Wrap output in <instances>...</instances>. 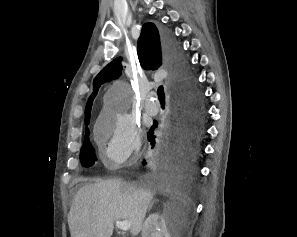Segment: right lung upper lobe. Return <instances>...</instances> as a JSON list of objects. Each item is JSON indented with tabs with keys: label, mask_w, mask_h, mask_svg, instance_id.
Segmentation results:
<instances>
[{
	"label": "right lung upper lobe",
	"mask_w": 297,
	"mask_h": 237,
	"mask_svg": "<svg viewBox=\"0 0 297 237\" xmlns=\"http://www.w3.org/2000/svg\"><path fill=\"white\" fill-rule=\"evenodd\" d=\"M138 58L141 66L147 70H155L161 65H167L162 33L153 23H146L142 27L141 35L138 40L137 47ZM121 58H116L109 63L95 77L93 81V93L89 97L85 109L86 124L88 125L92 103L94 96L97 95L99 87L112 79H116L121 75Z\"/></svg>",
	"instance_id": "cb5924a9"
}]
</instances>
